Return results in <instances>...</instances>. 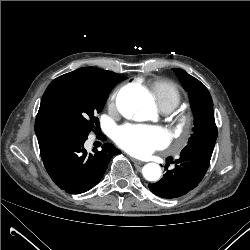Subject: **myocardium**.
<instances>
[{
    "mask_svg": "<svg viewBox=\"0 0 250 250\" xmlns=\"http://www.w3.org/2000/svg\"><path fill=\"white\" fill-rule=\"evenodd\" d=\"M177 127L183 132L187 133L189 129V120L187 118H180Z\"/></svg>",
    "mask_w": 250,
    "mask_h": 250,
    "instance_id": "1",
    "label": "myocardium"
}]
</instances>
